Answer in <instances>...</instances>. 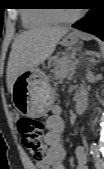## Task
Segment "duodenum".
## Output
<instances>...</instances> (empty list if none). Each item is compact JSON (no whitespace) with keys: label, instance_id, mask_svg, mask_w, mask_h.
<instances>
[{"label":"duodenum","instance_id":"duodenum-1","mask_svg":"<svg viewBox=\"0 0 104 169\" xmlns=\"http://www.w3.org/2000/svg\"><path fill=\"white\" fill-rule=\"evenodd\" d=\"M88 105V100L85 96L79 95L76 99V112L78 114L83 113Z\"/></svg>","mask_w":104,"mask_h":169}]
</instances>
